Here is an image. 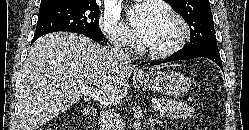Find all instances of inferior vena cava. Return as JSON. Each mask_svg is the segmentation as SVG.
<instances>
[{"label":"inferior vena cava","mask_w":249,"mask_h":130,"mask_svg":"<svg viewBox=\"0 0 249 130\" xmlns=\"http://www.w3.org/2000/svg\"><path fill=\"white\" fill-rule=\"evenodd\" d=\"M111 53L115 57V60L120 64H129L130 53L129 48L125 45L120 38L112 39V47ZM113 105H117L114 103ZM101 120V129L102 130H118L121 124V119L119 114L115 112V110L111 111H103L100 115Z\"/></svg>","instance_id":"obj_1"}]
</instances>
